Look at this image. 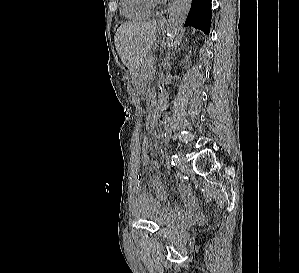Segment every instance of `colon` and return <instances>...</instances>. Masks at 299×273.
<instances>
[{"label": "colon", "instance_id": "5ec220e1", "mask_svg": "<svg viewBox=\"0 0 299 273\" xmlns=\"http://www.w3.org/2000/svg\"><path fill=\"white\" fill-rule=\"evenodd\" d=\"M149 144H150V142H149V137H148V136H144V137L142 138V148H148V147H149ZM197 219H198L199 221H203V220L205 219V216H204L203 214H201V213H198V214H197Z\"/></svg>", "mask_w": 299, "mask_h": 273}]
</instances>
